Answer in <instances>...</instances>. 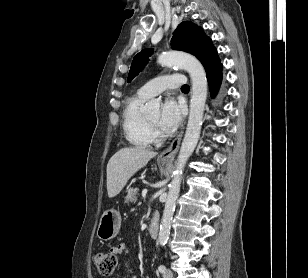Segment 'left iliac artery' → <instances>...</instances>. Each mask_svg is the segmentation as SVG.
<instances>
[{"instance_id": "obj_1", "label": "left iliac artery", "mask_w": 308, "mask_h": 278, "mask_svg": "<svg viewBox=\"0 0 308 278\" xmlns=\"http://www.w3.org/2000/svg\"><path fill=\"white\" fill-rule=\"evenodd\" d=\"M158 270H159L160 273H164L165 270H166V267H165L164 265H160V266L158 267Z\"/></svg>"}]
</instances>
